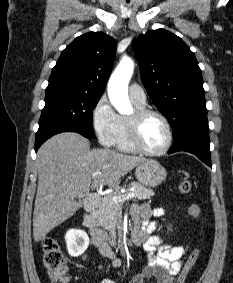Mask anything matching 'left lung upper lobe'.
I'll use <instances>...</instances> for the list:
<instances>
[{
    "label": "left lung upper lobe",
    "instance_id": "1",
    "mask_svg": "<svg viewBox=\"0 0 233 283\" xmlns=\"http://www.w3.org/2000/svg\"><path fill=\"white\" fill-rule=\"evenodd\" d=\"M133 48L143 84L171 124L173 138L194 130L208 131L202 72L184 41L157 29L134 39Z\"/></svg>",
    "mask_w": 233,
    "mask_h": 283
}]
</instances>
